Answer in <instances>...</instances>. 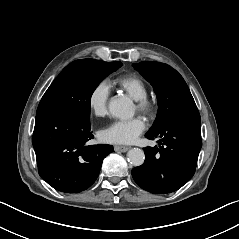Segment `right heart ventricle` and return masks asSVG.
Instances as JSON below:
<instances>
[{
	"mask_svg": "<svg viewBox=\"0 0 239 239\" xmlns=\"http://www.w3.org/2000/svg\"><path fill=\"white\" fill-rule=\"evenodd\" d=\"M117 82L135 99L145 97L148 93L146 83L137 76H124L119 78Z\"/></svg>",
	"mask_w": 239,
	"mask_h": 239,
	"instance_id": "right-heart-ventricle-1",
	"label": "right heart ventricle"
}]
</instances>
